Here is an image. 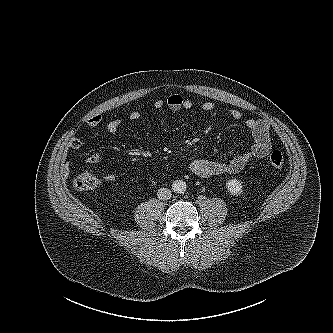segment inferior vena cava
<instances>
[{
    "instance_id": "inferior-vena-cava-1",
    "label": "inferior vena cava",
    "mask_w": 333,
    "mask_h": 333,
    "mask_svg": "<svg viewBox=\"0 0 333 333\" xmlns=\"http://www.w3.org/2000/svg\"><path fill=\"white\" fill-rule=\"evenodd\" d=\"M157 196L160 200H168L171 198L172 193L168 188H160L157 192Z\"/></svg>"
}]
</instances>
